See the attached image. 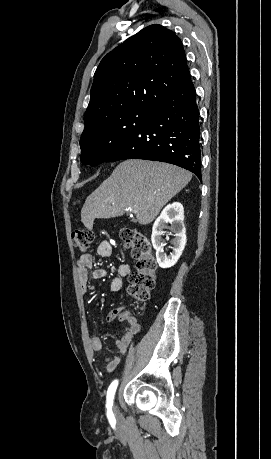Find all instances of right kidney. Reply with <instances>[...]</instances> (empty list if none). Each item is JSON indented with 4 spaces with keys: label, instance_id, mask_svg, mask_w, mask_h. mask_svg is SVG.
Here are the masks:
<instances>
[{
    "label": "right kidney",
    "instance_id": "obj_1",
    "mask_svg": "<svg viewBox=\"0 0 271 459\" xmlns=\"http://www.w3.org/2000/svg\"><path fill=\"white\" fill-rule=\"evenodd\" d=\"M170 224V226H167ZM169 228L175 235L171 243H173V251L170 255H166L163 251L164 239L161 235L164 233L162 229ZM170 231V233H171ZM151 241L153 247L156 249V257L160 267H171L178 261L186 243V228L184 224V208L179 202L168 204L161 212L159 218L154 222L152 228Z\"/></svg>",
    "mask_w": 271,
    "mask_h": 459
}]
</instances>
